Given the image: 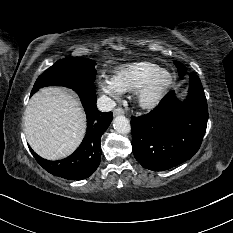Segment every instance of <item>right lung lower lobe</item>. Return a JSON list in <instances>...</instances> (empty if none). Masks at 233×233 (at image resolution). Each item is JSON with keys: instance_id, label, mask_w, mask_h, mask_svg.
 Wrapping results in <instances>:
<instances>
[{"instance_id": "obj_1", "label": "right lung lower lobe", "mask_w": 233, "mask_h": 233, "mask_svg": "<svg viewBox=\"0 0 233 233\" xmlns=\"http://www.w3.org/2000/svg\"><path fill=\"white\" fill-rule=\"evenodd\" d=\"M87 115V132L81 145L69 157L59 161H49L38 156L31 148L36 161L49 173L70 180L90 177L101 160L100 138L112 121V112L102 113L96 107V91L93 87L74 89Z\"/></svg>"}]
</instances>
